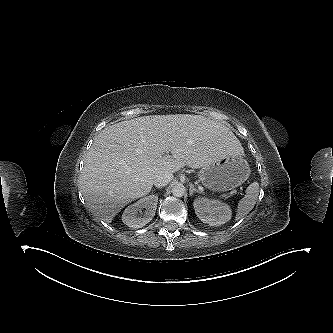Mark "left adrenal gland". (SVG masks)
Masks as SVG:
<instances>
[{
    "mask_svg": "<svg viewBox=\"0 0 333 333\" xmlns=\"http://www.w3.org/2000/svg\"><path fill=\"white\" fill-rule=\"evenodd\" d=\"M195 192H197V193H199V194L201 193L198 189H196V188L194 187L193 184H190L189 195L192 196Z\"/></svg>",
    "mask_w": 333,
    "mask_h": 333,
    "instance_id": "1",
    "label": "left adrenal gland"
}]
</instances>
